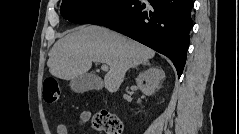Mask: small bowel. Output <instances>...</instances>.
Wrapping results in <instances>:
<instances>
[{"label":"small bowel","instance_id":"c3829d8e","mask_svg":"<svg viewBox=\"0 0 239 134\" xmlns=\"http://www.w3.org/2000/svg\"><path fill=\"white\" fill-rule=\"evenodd\" d=\"M91 117H92V112L89 110H84L80 113L78 126L81 132L85 128L86 124L90 121ZM56 133L69 134V129L64 123L59 122L56 126Z\"/></svg>","mask_w":239,"mask_h":134}]
</instances>
